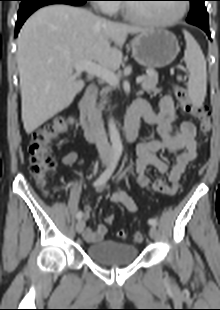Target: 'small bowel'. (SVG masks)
Here are the masks:
<instances>
[{
  "label": "small bowel",
  "mask_w": 220,
  "mask_h": 310,
  "mask_svg": "<svg viewBox=\"0 0 220 310\" xmlns=\"http://www.w3.org/2000/svg\"><path fill=\"white\" fill-rule=\"evenodd\" d=\"M149 123L156 125L160 139L150 140L140 144L137 147V182L140 187L152 192L162 193L173 196L178 192L179 183L183 173L189 163L197 156V129L193 122L183 121L180 124L179 131L176 134L171 133L172 123L175 120V107L171 96H164L160 102L158 111H154L151 106L143 100L136 101L132 106ZM178 151L173 167L169 170L168 164L160 159L156 153L159 151ZM65 165H72L80 162L76 152L66 154L63 159ZM149 166L154 167L161 174L168 175V182L161 178L153 181L146 174ZM97 192L106 190L105 184L95 186ZM111 202L124 206L129 212L135 213L137 205L133 199L125 192L120 190H111L109 192ZM91 206H85L82 216L84 220L89 218ZM107 233V227L104 224H97L95 229L84 228L83 236L89 243H98L102 241Z\"/></svg>",
  "instance_id": "obj_1"
}]
</instances>
